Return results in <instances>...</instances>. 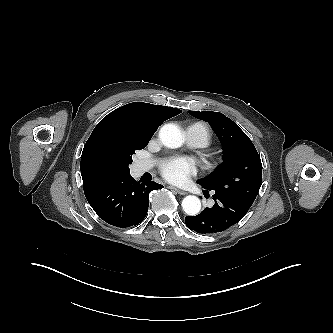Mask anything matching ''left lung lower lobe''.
I'll return each mask as SVG.
<instances>
[{"instance_id":"left-lung-lower-lobe-1","label":"left lung lower lobe","mask_w":333,"mask_h":333,"mask_svg":"<svg viewBox=\"0 0 333 333\" xmlns=\"http://www.w3.org/2000/svg\"><path fill=\"white\" fill-rule=\"evenodd\" d=\"M209 190H204L208 193ZM215 204L206 208L199 215L185 218L187 227L201 234H215L222 232L239 222L250 209L245 202L215 193Z\"/></svg>"}]
</instances>
